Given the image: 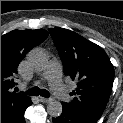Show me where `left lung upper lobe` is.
Returning a JSON list of instances; mask_svg holds the SVG:
<instances>
[{
  "instance_id": "obj_1",
  "label": "left lung upper lobe",
  "mask_w": 123,
  "mask_h": 123,
  "mask_svg": "<svg viewBox=\"0 0 123 123\" xmlns=\"http://www.w3.org/2000/svg\"><path fill=\"white\" fill-rule=\"evenodd\" d=\"M63 63L64 73L77 82L73 100L63 103L74 114L97 121L113 86L114 68L105 51L68 29H49Z\"/></svg>"
}]
</instances>
